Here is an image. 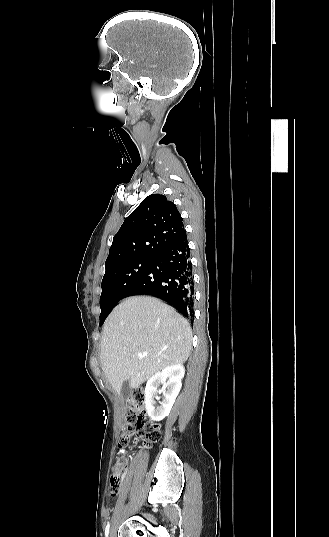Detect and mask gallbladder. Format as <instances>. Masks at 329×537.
<instances>
[{"label":"gallbladder","instance_id":"gallbladder-1","mask_svg":"<svg viewBox=\"0 0 329 537\" xmlns=\"http://www.w3.org/2000/svg\"><path fill=\"white\" fill-rule=\"evenodd\" d=\"M131 392H132V388L130 387V381L129 380L124 381L121 387V395L123 397H127L131 394Z\"/></svg>","mask_w":329,"mask_h":537}]
</instances>
